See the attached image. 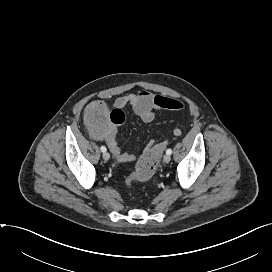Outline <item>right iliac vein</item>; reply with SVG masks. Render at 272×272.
I'll return each mask as SVG.
<instances>
[{
  "label": "right iliac vein",
  "instance_id": "63e3f726",
  "mask_svg": "<svg viewBox=\"0 0 272 272\" xmlns=\"http://www.w3.org/2000/svg\"><path fill=\"white\" fill-rule=\"evenodd\" d=\"M103 159L108 161L110 159V154L108 152L103 153Z\"/></svg>",
  "mask_w": 272,
  "mask_h": 272
}]
</instances>
